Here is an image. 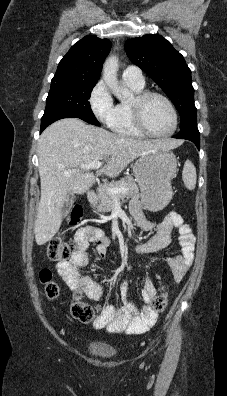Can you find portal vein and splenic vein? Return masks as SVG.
Returning <instances> with one entry per match:
<instances>
[{
	"instance_id": "18ae733b",
	"label": "portal vein and splenic vein",
	"mask_w": 227,
	"mask_h": 396,
	"mask_svg": "<svg viewBox=\"0 0 227 396\" xmlns=\"http://www.w3.org/2000/svg\"><path fill=\"white\" fill-rule=\"evenodd\" d=\"M102 166V163L100 161H93L90 162L89 164H84L80 166V169L83 170H96L99 169ZM76 172V170H73L71 172H65L64 176H71L72 174H74ZM107 192H109L110 194L114 195L117 193H127L128 189L126 188H111V187H106Z\"/></svg>"
}]
</instances>
